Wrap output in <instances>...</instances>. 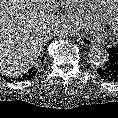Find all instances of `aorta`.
Returning a JSON list of instances; mask_svg holds the SVG:
<instances>
[{
	"instance_id": "obj_1",
	"label": "aorta",
	"mask_w": 118,
	"mask_h": 118,
	"mask_svg": "<svg viewBox=\"0 0 118 118\" xmlns=\"http://www.w3.org/2000/svg\"><path fill=\"white\" fill-rule=\"evenodd\" d=\"M89 59L94 65H102L107 60V51L98 45H93L90 47L88 52Z\"/></svg>"
}]
</instances>
